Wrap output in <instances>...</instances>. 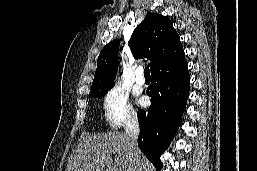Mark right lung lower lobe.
Instances as JSON below:
<instances>
[{"label":"right lung lower lobe","mask_w":257,"mask_h":171,"mask_svg":"<svg viewBox=\"0 0 257 171\" xmlns=\"http://www.w3.org/2000/svg\"><path fill=\"white\" fill-rule=\"evenodd\" d=\"M189 83L185 58L173 66L155 71L147 90L151 106L147 111L138 110V146L157 170L162 167L160 155L167 149L181 124L189 96Z\"/></svg>","instance_id":"obj_1"}]
</instances>
